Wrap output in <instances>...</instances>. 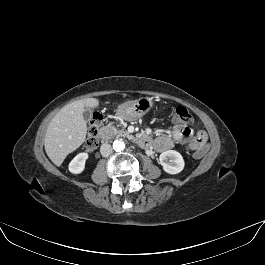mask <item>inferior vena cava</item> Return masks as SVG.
<instances>
[{
	"label": "inferior vena cava",
	"mask_w": 265,
	"mask_h": 265,
	"mask_svg": "<svg viewBox=\"0 0 265 265\" xmlns=\"http://www.w3.org/2000/svg\"><path fill=\"white\" fill-rule=\"evenodd\" d=\"M100 153L103 157H108L112 153V146L108 143H104L100 147Z\"/></svg>",
	"instance_id": "inferior-vena-cava-1"
}]
</instances>
